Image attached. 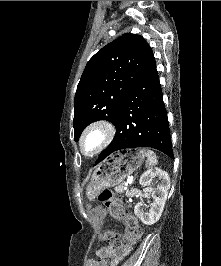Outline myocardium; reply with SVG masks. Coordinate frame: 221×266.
<instances>
[{
	"label": "myocardium",
	"mask_w": 221,
	"mask_h": 266,
	"mask_svg": "<svg viewBox=\"0 0 221 266\" xmlns=\"http://www.w3.org/2000/svg\"><path fill=\"white\" fill-rule=\"evenodd\" d=\"M116 129L115 126L108 120H97L89 124L81 134L78 147L80 154L85 158H93L99 154L113 139ZM93 135L98 136L95 147L88 150L86 142Z\"/></svg>",
	"instance_id": "obj_1"
}]
</instances>
